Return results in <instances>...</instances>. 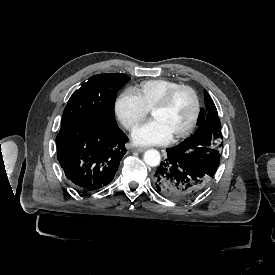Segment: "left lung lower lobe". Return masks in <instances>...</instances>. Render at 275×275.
<instances>
[{"mask_svg":"<svg viewBox=\"0 0 275 275\" xmlns=\"http://www.w3.org/2000/svg\"><path fill=\"white\" fill-rule=\"evenodd\" d=\"M169 150L153 177L160 193L173 200H187L198 197L212 185L214 175L174 156Z\"/></svg>","mask_w":275,"mask_h":275,"instance_id":"obj_1","label":"left lung lower lobe"}]
</instances>
